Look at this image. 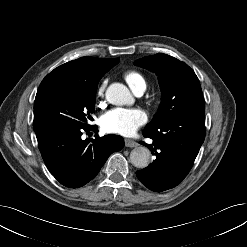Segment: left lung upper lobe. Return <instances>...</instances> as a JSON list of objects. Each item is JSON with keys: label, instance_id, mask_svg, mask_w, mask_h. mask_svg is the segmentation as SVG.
<instances>
[{"label": "left lung upper lobe", "instance_id": "5c2ea615", "mask_svg": "<svg viewBox=\"0 0 247 247\" xmlns=\"http://www.w3.org/2000/svg\"><path fill=\"white\" fill-rule=\"evenodd\" d=\"M135 65L156 72L162 90L158 112L145 129H155L176 116L205 115L199 79L187 64L167 54L158 53L136 60Z\"/></svg>", "mask_w": 247, "mask_h": 247}]
</instances>
